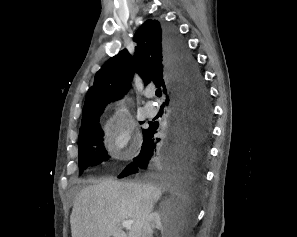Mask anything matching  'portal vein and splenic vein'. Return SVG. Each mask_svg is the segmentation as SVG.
<instances>
[{
  "mask_svg": "<svg viewBox=\"0 0 297 237\" xmlns=\"http://www.w3.org/2000/svg\"><path fill=\"white\" fill-rule=\"evenodd\" d=\"M132 224H133V220H126L122 222V227L130 229Z\"/></svg>",
  "mask_w": 297,
  "mask_h": 237,
  "instance_id": "portal-vein-and-splenic-vein-1",
  "label": "portal vein and splenic vein"
}]
</instances>
